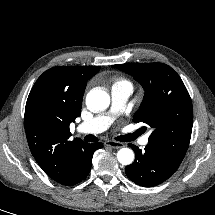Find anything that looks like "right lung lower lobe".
Returning a JSON list of instances; mask_svg holds the SVG:
<instances>
[{
    "instance_id": "98d812e1",
    "label": "right lung lower lobe",
    "mask_w": 215,
    "mask_h": 215,
    "mask_svg": "<svg viewBox=\"0 0 215 215\" xmlns=\"http://www.w3.org/2000/svg\"><path fill=\"white\" fill-rule=\"evenodd\" d=\"M102 147V143H95L92 145L87 144L82 150H80L78 155L75 157L74 173L72 174L68 182L64 185H74L83 180L91 170V160L94 152Z\"/></svg>"
}]
</instances>
